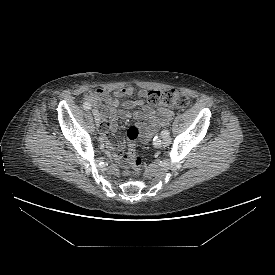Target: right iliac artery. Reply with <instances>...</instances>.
<instances>
[{
  "label": "right iliac artery",
  "instance_id": "obj_1",
  "mask_svg": "<svg viewBox=\"0 0 275 275\" xmlns=\"http://www.w3.org/2000/svg\"><path fill=\"white\" fill-rule=\"evenodd\" d=\"M83 108H84L85 110H90V109H91V104L88 103V102H85V103H83Z\"/></svg>",
  "mask_w": 275,
  "mask_h": 275
}]
</instances>
